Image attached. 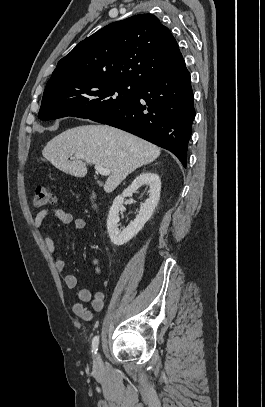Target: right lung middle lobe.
Wrapping results in <instances>:
<instances>
[{"label":"right lung middle lobe","mask_w":265,"mask_h":407,"mask_svg":"<svg viewBox=\"0 0 265 407\" xmlns=\"http://www.w3.org/2000/svg\"><path fill=\"white\" fill-rule=\"evenodd\" d=\"M139 84L123 80L89 78L74 82H48L38 118L66 116L93 118L131 103Z\"/></svg>","instance_id":"1"}]
</instances>
